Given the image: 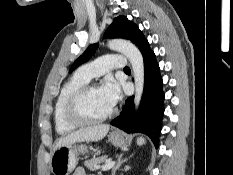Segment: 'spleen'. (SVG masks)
<instances>
[{"mask_svg": "<svg viewBox=\"0 0 233 175\" xmlns=\"http://www.w3.org/2000/svg\"><path fill=\"white\" fill-rule=\"evenodd\" d=\"M144 143H145V139H144V138L140 137V138L137 139V144H138V145L141 146V145H143Z\"/></svg>", "mask_w": 233, "mask_h": 175, "instance_id": "spleen-1", "label": "spleen"}]
</instances>
